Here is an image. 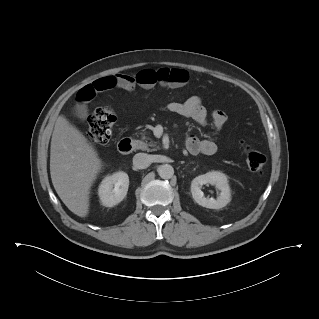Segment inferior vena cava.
Segmentation results:
<instances>
[{
  "label": "inferior vena cava",
  "mask_w": 319,
  "mask_h": 319,
  "mask_svg": "<svg viewBox=\"0 0 319 319\" xmlns=\"http://www.w3.org/2000/svg\"><path fill=\"white\" fill-rule=\"evenodd\" d=\"M151 164V160L148 154L146 153H137L133 157V165L136 168L144 169Z\"/></svg>",
  "instance_id": "1"
}]
</instances>
